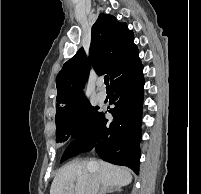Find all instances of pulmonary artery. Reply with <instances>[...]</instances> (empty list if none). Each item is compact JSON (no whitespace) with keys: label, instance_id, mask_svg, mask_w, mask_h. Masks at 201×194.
<instances>
[{"label":"pulmonary artery","instance_id":"e3ab8cb5","mask_svg":"<svg viewBox=\"0 0 201 194\" xmlns=\"http://www.w3.org/2000/svg\"><path fill=\"white\" fill-rule=\"evenodd\" d=\"M102 88V83L100 84ZM98 101L99 102H104L107 99V94L104 90H101L98 95H97Z\"/></svg>","mask_w":201,"mask_h":194}]
</instances>
